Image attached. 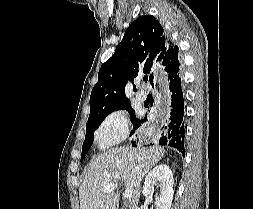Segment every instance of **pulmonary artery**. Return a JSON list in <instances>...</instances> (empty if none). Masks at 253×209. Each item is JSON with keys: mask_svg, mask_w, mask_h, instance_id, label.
I'll use <instances>...</instances> for the list:
<instances>
[{"mask_svg": "<svg viewBox=\"0 0 253 209\" xmlns=\"http://www.w3.org/2000/svg\"><path fill=\"white\" fill-rule=\"evenodd\" d=\"M146 97H147V95H146V93L143 92V91H138V92L136 93V98H137V100L140 101V102H144V101L146 100Z\"/></svg>", "mask_w": 253, "mask_h": 209, "instance_id": "obj_1", "label": "pulmonary artery"}]
</instances>
